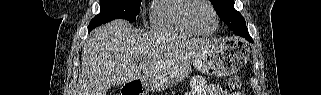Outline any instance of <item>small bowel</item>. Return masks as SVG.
Segmentation results:
<instances>
[{"instance_id":"small-bowel-1","label":"small bowel","mask_w":321,"mask_h":95,"mask_svg":"<svg viewBox=\"0 0 321 95\" xmlns=\"http://www.w3.org/2000/svg\"><path fill=\"white\" fill-rule=\"evenodd\" d=\"M196 86L200 87V90L194 93V95H223L222 89L215 84H201L196 83Z\"/></svg>"}]
</instances>
